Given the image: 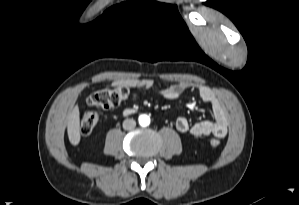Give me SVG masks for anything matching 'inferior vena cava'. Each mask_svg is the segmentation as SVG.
<instances>
[{
  "label": "inferior vena cava",
  "instance_id": "1",
  "mask_svg": "<svg viewBox=\"0 0 299 205\" xmlns=\"http://www.w3.org/2000/svg\"><path fill=\"white\" fill-rule=\"evenodd\" d=\"M136 126V122L133 119H126L123 121V128L125 130H132Z\"/></svg>",
  "mask_w": 299,
  "mask_h": 205
}]
</instances>
